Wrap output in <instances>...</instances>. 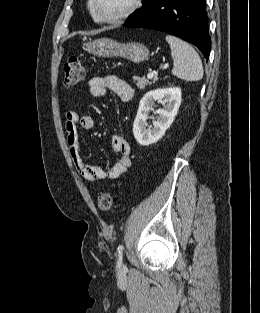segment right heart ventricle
I'll return each mask as SVG.
<instances>
[{
  "label": "right heart ventricle",
  "mask_w": 260,
  "mask_h": 313,
  "mask_svg": "<svg viewBox=\"0 0 260 313\" xmlns=\"http://www.w3.org/2000/svg\"><path fill=\"white\" fill-rule=\"evenodd\" d=\"M87 9H88V11H89L91 17L93 18V20H94L95 22H99V21L96 19L95 15H94V13H93V11H92L91 0H88V2H87Z\"/></svg>",
  "instance_id": "1"
}]
</instances>
